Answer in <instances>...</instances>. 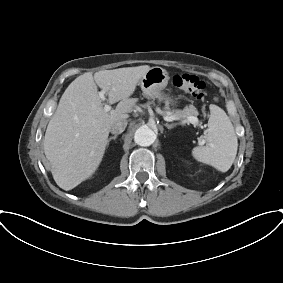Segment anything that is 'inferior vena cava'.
Returning a JSON list of instances; mask_svg holds the SVG:
<instances>
[{
    "label": "inferior vena cava",
    "mask_w": 283,
    "mask_h": 283,
    "mask_svg": "<svg viewBox=\"0 0 283 283\" xmlns=\"http://www.w3.org/2000/svg\"><path fill=\"white\" fill-rule=\"evenodd\" d=\"M127 124L128 121L126 119L119 120L111 126L110 132L115 135L121 134L127 127Z\"/></svg>",
    "instance_id": "obj_1"
}]
</instances>
